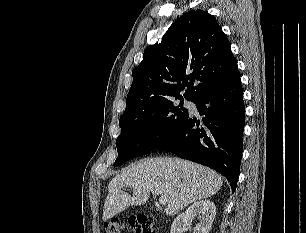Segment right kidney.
Segmentation results:
<instances>
[{"label":"right kidney","mask_w":306,"mask_h":233,"mask_svg":"<svg viewBox=\"0 0 306 233\" xmlns=\"http://www.w3.org/2000/svg\"><path fill=\"white\" fill-rule=\"evenodd\" d=\"M216 215V206L209 200H200L189 206L185 213L178 215L173 221L171 233H183L197 217L193 233H209Z\"/></svg>","instance_id":"1"}]
</instances>
